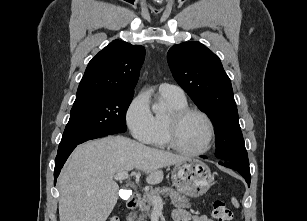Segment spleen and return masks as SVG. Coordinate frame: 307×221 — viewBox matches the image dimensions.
I'll use <instances>...</instances> for the list:
<instances>
[{"label":"spleen","mask_w":307,"mask_h":221,"mask_svg":"<svg viewBox=\"0 0 307 221\" xmlns=\"http://www.w3.org/2000/svg\"><path fill=\"white\" fill-rule=\"evenodd\" d=\"M231 201H232V204L234 205V207H236V208L239 207V202L237 201V199L235 197H232Z\"/></svg>","instance_id":"3e777b00"}]
</instances>
